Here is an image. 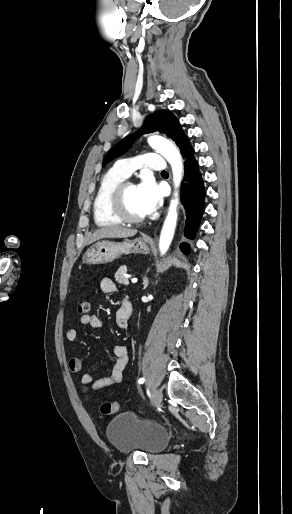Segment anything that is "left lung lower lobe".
<instances>
[{"mask_svg":"<svg viewBox=\"0 0 292 514\" xmlns=\"http://www.w3.org/2000/svg\"><path fill=\"white\" fill-rule=\"evenodd\" d=\"M182 156L185 169L184 182L181 185V202L186 212L184 236L193 240L204 213L206 192L191 144L187 146ZM180 249L184 254H188L190 247L187 243H182Z\"/></svg>","mask_w":292,"mask_h":514,"instance_id":"left-lung-lower-lobe-1","label":"left lung lower lobe"}]
</instances>
